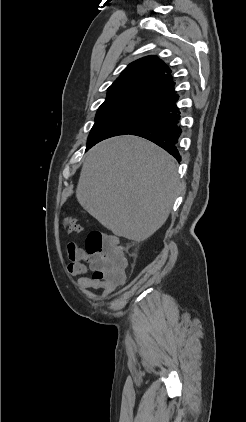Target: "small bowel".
<instances>
[{
  "mask_svg": "<svg viewBox=\"0 0 246 422\" xmlns=\"http://www.w3.org/2000/svg\"><path fill=\"white\" fill-rule=\"evenodd\" d=\"M67 251L69 257L68 271L71 275L78 277L77 282L81 288L101 289V297H107L123 284L124 274L115 279L96 277L95 272L99 269L98 257L88 254L86 250L75 243H69ZM89 271L93 272L90 277L87 276Z\"/></svg>",
  "mask_w": 246,
  "mask_h": 422,
  "instance_id": "1",
  "label": "small bowel"
}]
</instances>
